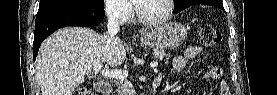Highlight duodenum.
<instances>
[{
	"mask_svg": "<svg viewBox=\"0 0 277 95\" xmlns=\"http://www.w3.org/2000/svg\"><path fill=\"white\" fill-rule=\"evenodd\" d=\"M160 85V80H156L152 84L151 95H157V89ZM95 90L98 94L110 95L112 93L111 84L107 81H100L95 84Z\"/></svg>",
	"mask_w": 277,
	"mask_h": 95,
	"instance_id": "duodenum-1",
	"label": "duodenum"
}]
</instances>
